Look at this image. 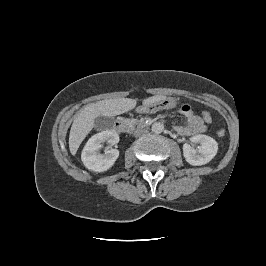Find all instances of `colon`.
<instances>
[{
    "label": "colon",
    "instance_id": "1",
    "mask_svg": "<svg viewBox=\"0 0 266 266\" xmlns=\"http://www.w3.org/2000/svg\"><path fill=\"white\" fill-rule=\"evenodd\" d=\"M201 118H202V120H203L204 122H206V123H211L212 120H213L212 115H211L208 111H203V112L201 113ZM217 135H218L219 137H223V136L225 135V130H224V129H220V130H218V131H217Z\"/></svg>",
    "mask_w": 266,
    "mask_h": 266
}]
</instances>
